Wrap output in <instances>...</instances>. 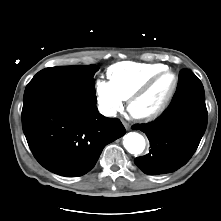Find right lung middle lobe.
<instances>
[{"label":"right lung middle lobe","instance_id":"1","mask_svg":"<svg viewBox=\"0 0 221 221\" xmlns=\"http://www.w3.org/2000/svg\"><path fill=\"white\" fill-rule=\"evenodd\" d=\"M96 65L58 66L38 72L26 88L51 86L77 93L95 94L94 74Z\"/></svg>","mask_w":221,"mask_h":221}]
</instances>
